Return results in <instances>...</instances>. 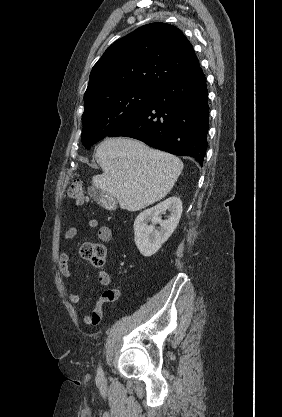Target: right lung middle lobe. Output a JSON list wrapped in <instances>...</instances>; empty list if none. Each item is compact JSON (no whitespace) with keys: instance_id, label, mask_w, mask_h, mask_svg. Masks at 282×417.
I'll return each mask as SVG.
<instances>
[{"instance_id":"dd1d6c3e","label":"right lung middle lobe","mask_w":282,"mask_h":417,"mask_svg":"<svg viewBox=\"0 0 282 417\" xmlns=\"http://www.w3.org/2000/svg\"><path fill=\"white\" fill-rule=\"evenodd\" d=\"M156 90L127 88L90 97L82 116V143L87 148L108 136L142 110Z\"/></svg>"}]
</instances>
